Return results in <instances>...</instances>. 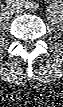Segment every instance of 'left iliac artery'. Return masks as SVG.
<instances>
[{
    "instance_id": "44dca946",
    "label": "left iliac artery",
    "mask_w": 63,
    "mask_h": 107,
    "mask_svg": "<svg viewBox=\"0 0 63 107\" xmlns=\"http://www.w3.org/2000/svg\"><path fill=\"white\" fill-rule=\"evenodd\" d=\"M26 4L29 5L31 8H34V9H35V7H36V6H35L34 4H32L31 2H26Z\"/></svg>"
}]
</instances>
